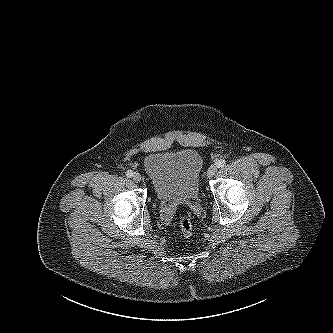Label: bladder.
Segmentation results:
<instances>
[{
	"label": "bladder",
	"mask_w": 333,
	"mask_h": 333,
	"mask_svg": "<svg viewBox=\"0 0 333 333\" xmlns=\"http://www.w3.org/2000/svg\"><path fill=\"white\" fill-rule=\"evenodd\" d=\"M143 167L159 201L186 202L198 197L203 158L195 149L150 153Z\"/></svg>",
	"instance_id": "obj_1"
}]
</instances>
